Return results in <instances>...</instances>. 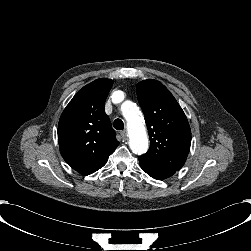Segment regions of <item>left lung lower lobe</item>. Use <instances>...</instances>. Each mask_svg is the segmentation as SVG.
<instances>
[{"label": "left lung lower lobe", "mask_w": 251, "mask_h": 251, "mask_svg": "<svg viewBox=\"0 0 251 251\" xmlns=\"http://www.w3.org/2000/svg\"><path fill=\"white\" fill-rule=\"evenodd\" d=\"M140 167L152 178L157 180L166 179L173 174H175V170L163 167L161 165L156 164L155 162L140 156L139 157Z\"/></svg>", "instance_id": "left-lung-lower-lobe-1"}]
</instances>
